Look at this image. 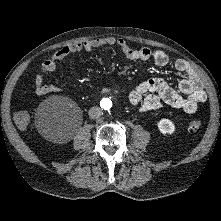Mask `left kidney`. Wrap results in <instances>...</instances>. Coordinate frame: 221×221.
<instances>
[{
	"mask_svg": "<svg viewBox=\"0 0 221 221\" xmlns=\"http://www.w3.org/2000/svg\"><path fill=\"white\" fill-rule=\"evenodd\" d=\"M157 126L160 132L163 134H172L175 131V125L169 119H161Z\"/></svg>",
	"mask_w": 221,
	"mask_h": 221,
	"instance_id": "obj_1",
	"label": "left kidney"
}]
</instances>
